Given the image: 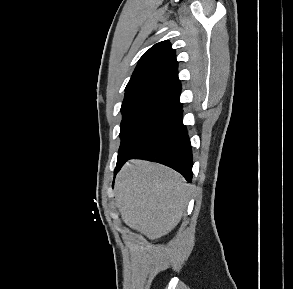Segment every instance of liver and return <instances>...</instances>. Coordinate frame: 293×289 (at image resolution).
I'll return each instance as SVG.
<instances>
[{
  "instance_id": "6515ba94",
  "label": "liver",
  "mask_w": 293,
  "mask_h": 289,
  "mask_svg": "<svg viewBox=\"0 0 293 289\" xmlns=\"http://www.w3.org/2000/svg\"><path fill=\"white\" fill-rule=\"evenodd\" d=\"M116 201L125 224L154 240L180 222L190 186L174 170L146 160H132L115 181Z\"/></svg>"
}]
</instances>
